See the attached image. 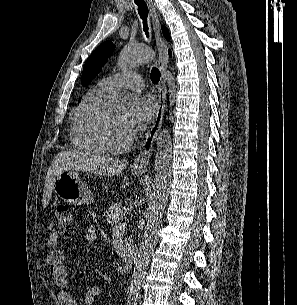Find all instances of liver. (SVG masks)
Segmentation results:
<instances>
[{
  "label": "liver",
  "instance_id": "1",
  "mask_svg": "<svg viewBox=\"0 0 297 305\" xmlns=\"http://www.w3.org/2000/svg\"><path fill=\"white\" fill-rule=\"evenodd\" d=\"M125 167L126 162L123 160L83 152L62 151L55 156L48 169L43 190V207H47L49 203L55 178L65 170L91 172L111 177L118 175Z\"/></svg>",
  "mask_w": 297,
  "mask_h": 305
}]
</instances>
